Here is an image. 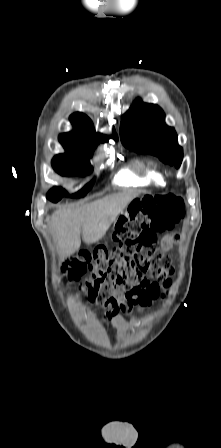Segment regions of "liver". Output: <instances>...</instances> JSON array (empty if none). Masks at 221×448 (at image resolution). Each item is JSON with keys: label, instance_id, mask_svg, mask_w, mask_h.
<instances>
[{"label": "liver", "instance_id": "liver-1", "mask_svg": "<svg viewBox=\"0 0 221 448\" xmlns=\"http://www.w3.org/2000/svg\"><path fill=\"white\" fill-rule=\"evenodd\" d=\"M137 197L126 192L110 195L75 209L55 211L50 230L62 257L75 253L81 246L80 232L86 244L98 243L127 205Z\"/></svg>", "mask_w": 221, "mask_h": 448}]
</instances>
